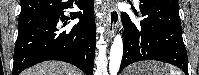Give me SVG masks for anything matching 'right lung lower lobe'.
Masks as SVG:
<instances>
[{"label":"right lung lower lobe","instance_id":"98d812e1","mask_svg":"<svg viewBox=\"0 0 199 75\" xmlns=\"http://www.w3.org/2000/svg\"><path fill=\"white\" fill-rule=\"evenodd\" d=\"M73 2L20 0L13 75L47 60L65 61L92 75L96 42L94 0L75 2L83 13L71 15L72 20L80 18L71 28L68 26L70 18L64 15V9L72 7Z\"/></svg>","mask_w":199,"mask_h":75}]
</instances>
